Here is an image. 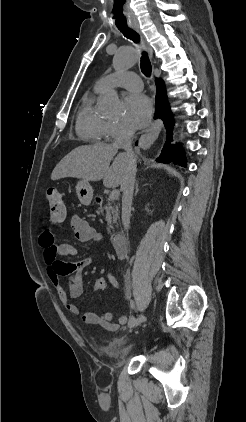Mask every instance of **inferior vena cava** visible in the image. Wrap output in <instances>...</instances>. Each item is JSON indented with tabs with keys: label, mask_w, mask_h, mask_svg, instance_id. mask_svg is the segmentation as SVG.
Returning <instances> with one entry per match:
<instances>
[{
	"label": "inferior vena cava",
	"mask_w": 246,
	"mask_h": 422,
	"mask_svg": "<svg viewBox=\"0 0 246 422\" xmlns=\"http://www.w3.org/2000/svg\"><path fill=\"white\" fill-rule=\"evenodd\" d=\"M134 130L124 126L116 137L113 146L125 150L124 154L128 160V170L121 184L122 196V222L124 229L128 230L130 225L131 205L136 176V158L132 151L131 138Z\"/></svg>",
	"instance_id": "602c4592"
}]
</instances>
